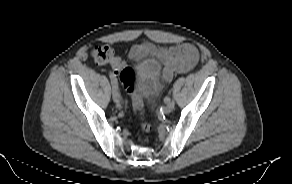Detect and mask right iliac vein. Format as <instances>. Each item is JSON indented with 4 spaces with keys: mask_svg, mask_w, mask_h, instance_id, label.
<instances>
[{
    "mask_svg": "<svg viewBox=\"0 0 292 184\" xmlns=\"http://www.w3.org/2000/svg\"><path fill=\"white\" fill-rule=\"evenodd\" d=\"M118 89L113 88V92H112V97L115 103H120L121 102V97L120 94H117Z\"/></svg>",
    "mask_w": 292,
    "mask_h": 184,
    "instance_id": "right-iliac-vein-1",
    "label": "right iliac vein"
}]
</instances>
